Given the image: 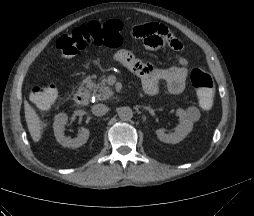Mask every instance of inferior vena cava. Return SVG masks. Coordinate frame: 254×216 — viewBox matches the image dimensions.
<instances>
[{"mask_svg":"<svg viewBox=\"0 0 254 216\" xmlns=\"http://www.w3.org/2000/svg\"><path fill=\"white\" fill-rule=\"evenodd\" d=\"M109 108L104 104H96L92 107V113L95 116H103L108 112Z\"/></svg>","mask_w":254,"mask_h":216,"instance_id":"1","label":"inferior vena cava"}]
</instances>
